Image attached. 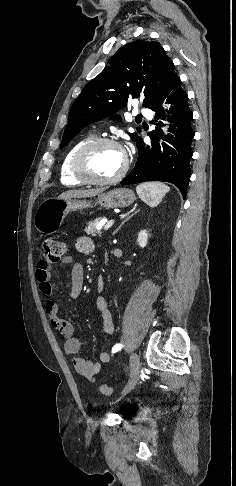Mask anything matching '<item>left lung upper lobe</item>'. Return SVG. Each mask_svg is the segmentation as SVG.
Instances as JSON below:
<instances>
[{"label":"left lung upper lobe","instance_id":"5c2ea615","mask_svg":"<svg viewBox=\"0 0 236 486\" xmlns=\"http://www.w3.org/2000/svg\"><path fill=\"white\" fill-rule=\"evenodd\" d=\"M109 64L75 100L60 148L87 125L125 107L129 97L138 98L143 86V106L149 107L164 87L178 77L173 62L157 42H131L119 49ZM111 118L120 120L119 115ZM129 135L136 142L140 139L136 133Z\"/></svg>","mask_w":236,"mask_h":486}]
</instances>
